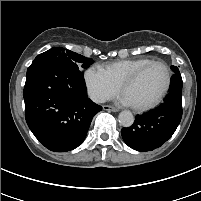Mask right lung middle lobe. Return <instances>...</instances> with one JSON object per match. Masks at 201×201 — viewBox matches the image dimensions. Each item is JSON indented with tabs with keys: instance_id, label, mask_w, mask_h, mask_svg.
<instances>
[{
	"instance_id": "dd1d6c3e",
	"label": "right lung middle lobe",
	"mask_w": 201,
	"mask_h": 201,
	"mask_svg": "<svg viewBox=\"0 0 201 201\" xmlns=\"http://www.w3.org/2000/svg\"><path fill=\"white\" fill-rule=\"evenodd\" d=\"M52 61L56 63H64L77 70L88 68L94 61L90 58H85L84 56L72 52L70 50H65L62 47H54L50 50L39 54L33 62L39 61ZM83 75V73L80 71Z\"/></svg>"
}]
</instances>
